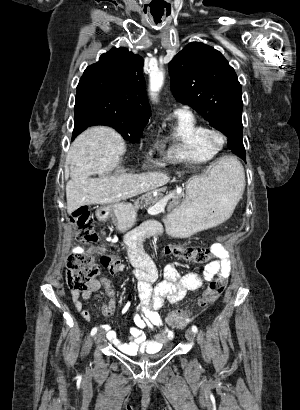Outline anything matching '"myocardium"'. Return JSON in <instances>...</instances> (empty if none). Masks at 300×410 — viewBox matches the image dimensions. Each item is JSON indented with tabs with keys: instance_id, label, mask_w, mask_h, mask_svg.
<instances>
[{
	"instance_id": "f54148a6",
	"label": "myocardium",
	"mask_w": 300,
	"mask_h": 410,
	"mask_svg": "<svg viewBox=\"0 0 300 410\" xmlns=\"http://www.w3.org/2000/svg\"><path fill=\"white\" fill-rule=\"evenodd\" d=\"M215 137L220 138V142L214 140ZM205 143L214 150H221L228 142L227 135L218 128H207L205 132Z\"/></svg>"
}]
</instances>
